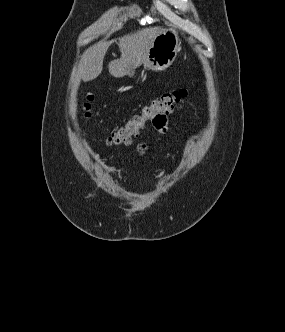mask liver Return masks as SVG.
<instances>
[{"label":"liver","instance_id":"6515ba94","mask_svg":"<svg viewBox=\"0 0 285 332\" xmlns=\"http://www.w3.org/2000/svg\"><path fill=\"white\" fill-rule=\"evenodd\" d=\"M162 31L160 27H149L119 38L121 56L109 62V73L115 78H121L145 63L154 39ZM110 44L111 42H99L85 51L78 67L79 75L84 82L91 81L101 74L103 60Z\"/></svg>","mask_w":285,"mask_h":332}]
</instances>
